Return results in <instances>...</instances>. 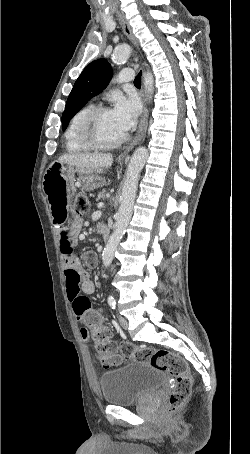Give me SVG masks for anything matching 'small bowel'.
I'll return each instance as SVG.
<instances>
[{"label":"small bowel","mask_w":250,"mask_h":454,"mask_svg":"<svg viewBox=\"0 0 250 454\" xmlns=\"http://www.w3.org/2000/svg\"><path fill=\"white\" fill-rule=\"evenodd\" d=\"M75 188V177L70 172L49 171L45 176L44 192L50 204L53 222L61 227L59 245L68 299L72 303L77 319L88 326L90 316H103V314L87 298V295L94 292L95 286L89 279L88 272L73 253L74 242L79 238L82 222L76 218L71 227H63L67 219L69 201ZM85 259L89 264L96 263V255L92 251L85 254ZM81 334L84 339L89 338L86 328L81 329Z\"/></svg>","instance_id":"small-bowel-1"}]
</instances>
